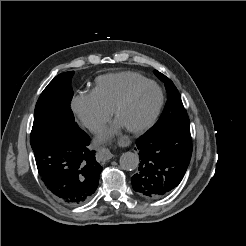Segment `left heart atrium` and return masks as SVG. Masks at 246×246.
<instances>
[{
	"instance_id": "left-heart-atrium-1",
	"label": "left heart atrium",
	"mask_w": 246,
	"mask_h": 246,
	"mask_svg": "<svg viewBox=\"0 0 246 246\" xmlns=\"http://www.w3.org/2000/svg\"><path fill=\"white\" fill-rule=\"evenodd\" d=\"M119 124L115 125L114 127L110 128L109 130L105 131L101 137L102 138H107L109 135L113 134L114 132H116V130L118 129Z\"/></svg>"
}]
</instances>
